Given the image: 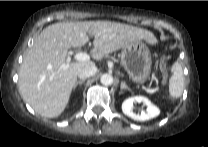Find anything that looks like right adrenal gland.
Instances as JSON below:
<instances>
[{
  "mask_svg": "<svg viewBox=\"0 0 208 147\" xmlns=\"http://www.w3.org/2000/svg\"><path fill=\"white\" fill-rule=\"evenodd\" d=\"M84 82H85V79L80 80V81H77L76 84L74 85V90L76 89V87H77L78 85H82Z\"/></svg>",
  "mask_w": 208,
  "mask_h": 147,
  "instance_id": "1",
  "label": "right adrenal gland"
}]
</instances>
